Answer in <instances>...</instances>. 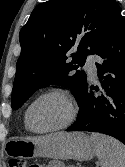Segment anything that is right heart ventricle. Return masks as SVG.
<instances>
[{"mask_svg": "<svg viewBox=\"0 0 125 167\" xmlns=\"http://www.w3.org/2000/svg\"><path fill=\"white\" fill-rule=\"evenodd\" d=\"M24 124H25V126L27 127L25 119H24Z\"/></svg>", "mask_w": 125, "mask_h": 167, "instance_id": "e07e8e85", "label": "right heart ventricle"}]
</instances>
